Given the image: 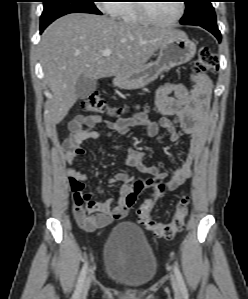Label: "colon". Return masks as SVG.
<instances>
[{
	"mask_svg": "<svg viewBox=\"0 0 248 299\" xmlns=\"http://www.w3.org/2000/svg\"><path fill=\"white\" fill-rule=\"evenodd\" d=\"M217 56L209 49L202 48L199 50L197 58L194 63V72L196 74L203 73H216L218 70ZM82 108L84 111L93 114L110 113L115 115H121L123 108H112L108 106L107 102L102 96L97 93H91L83 101ZM151 179L147 181L135 180L132 184V191L124 194V204L130 208L134 206L136 202L137 192L145 185L150 184ZM76 189L72 191V212L77 216L87 217L93 213V208L90 204V200L85 195V192L80 190L83 187L82 183L75 184ZM166 183H160L158 185L156 198L145 201L138 209L137 215L139 222L148 230L155 233L157 236H161L167 239L173 238L176 234L181 232L185 227V220L189 213L190 200L188 196L182 197L176 205L175 213L168 223H161L155 221L151 217V211L156 203L157 197L163 196L168 191Z\"/></svg>",
	"mask_w": 248,
	"mask_h": 299,
	"instance_id": "colon-1",
	"label": "colon"
}]
</instances>
